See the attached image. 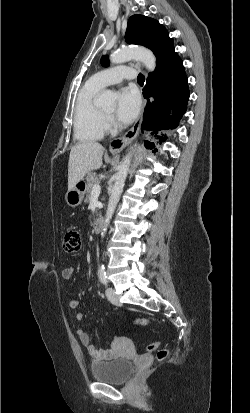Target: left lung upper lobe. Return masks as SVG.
Instances as JSON below:
<instances>
[{"label": "left lung upper lobe", "mask_w": 250, "mask_h": 413, "mask_svg": "<svg viewBox=\"0 0 250 413\" xmlns=\"http://www.w3.org/2000/svg\"><path fill=\"white\" fill-rule=\"evenodd\" d=\"M125 42L128 44L143 45L153 52L159 50L167 43H172L169 33L158 21L142 15H133L128 20L125 34ZM104 67L109 66L107 56L101 58Z\"/></svg>", "instance_id": "left-lung-upper-lobe-1"}]
</instances>
